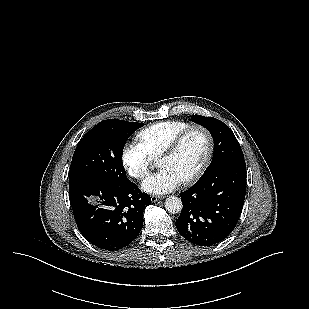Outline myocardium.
<instances>
[{"mask_svg":"<svg viewBox=\"0 0 309 309\" xmlns=\"http://www.w3.org/2000/svg\"><path fill=\"white\" fill-rule=\"evenodd\" d=\"M195 130H200L204 133L206 139H207V153L205 156L204 161L202 162L201 166L197 169L196 172H194L191 176L188 178L184 179L182 181L183 184L188 185L191 184L195 181H197L206 171L208 166L210 165V162L212 160V156L214 153V140L211 132L204 126L202 125H191L185 130H183L181 133H179L173 140L172 142L167 146V148L163 151V153L160 155V159L165 158V157H170L174 155L180 146L182 145L183 141L186 139V137L193 131Z\"/></svg>","mask_w":309,"mask_h":309,"instance_id":"obj_1","label":"myocardium"}]
</instances>
